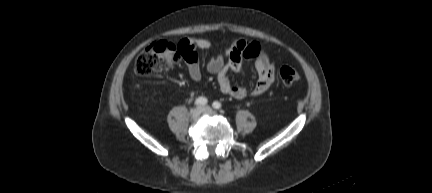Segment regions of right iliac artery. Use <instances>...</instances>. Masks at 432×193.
<instances>
[{"label": "right iliac artery", "mask_w": 432, "mask_h": 193, "mask_svg": "<svg viewBox=\"0 0 432 193\" xmlns=\"http://www.w3.org/2000/svg\"><path fill=\"white\" fill-rule=\"evenodd\" d=\"M207 99L205 97H199L195 100V105L197 106H204L207 104Z\"/></svg>", "instance_id": "1"}]
</instances>
